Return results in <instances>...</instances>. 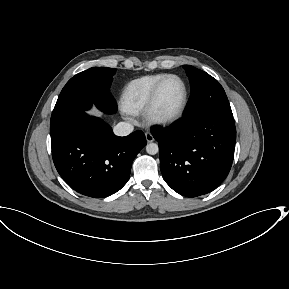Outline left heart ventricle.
I'll use <instances>...</instances> for the list:
<instances>
[{
  "label": "left heart ventricle",
  "instance_id": "left-heart-ventricle-1",
  "mask_svg": "<svg viewBox=\"0 0 289 289\" xmlns=\"http://www.w3.org/2000/svg\"><path fill=\"white\" fill-rule=\"evenodd\" d=\"M184 96L182 83L177 79H169L162 86L157 111L162 115L174 113L180 106Z\"/></svg>",
  "mask_w": 289,
  "mask_h": 289
}]
</instances>
